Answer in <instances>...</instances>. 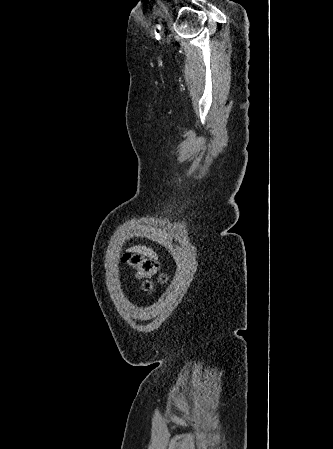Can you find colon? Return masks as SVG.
Here are the masks:
<instances>
[{"mask_svg": "<svg viewBox=\"0 0 333 449\" xmlns=\"http://www.w3.org/2000/svg\"><path fill=\"white\" fill-rule=\"evenodd\" d=\"M122 262L135 271L139 278L144 280L143 288L146 291L153 288L155 279L158 278L161 282L166 280V277L160 274L159 264L154 259L138 253L126 252L122 256Z\"/></svg>", "mask_w": 333, "mask_h": 449, "instance_id": "obj_1", "label": "colon"}]
</instances>
